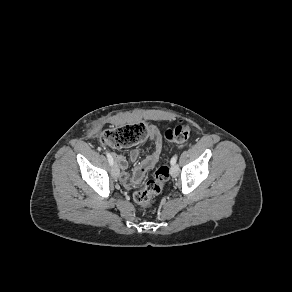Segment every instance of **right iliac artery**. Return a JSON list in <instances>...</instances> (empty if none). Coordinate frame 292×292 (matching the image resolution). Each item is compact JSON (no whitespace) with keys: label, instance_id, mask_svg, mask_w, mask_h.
I'll list each match as a JSON object with an SVG mask.
<instances>
[{"label":"right iliac artery","instance_id":"1","mask_svg":"<svg viewBox=\"0 0 292 292\" xmlns=\"http://www.w3.org/2000/svg\"><path fill=\"white\" fill-rule=\"evenodd\" d=\"M106 156L108 158V161H109L110 165H113L114 161H113V158H112L111 154L106 152Z\"/></svg>","mask_w":292,"mask_h":292}]
</instances>
